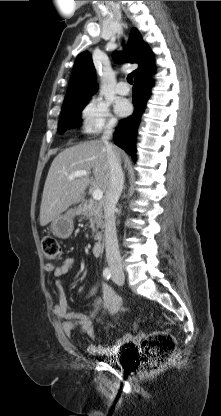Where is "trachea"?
<instances>
[{
    "instance_id": "trachea-1",
    "label": "trachea",
    "mask_w": 221,
    "mask_h": 416,
    "mask_svg": "<svg viewBox=\"0 0 221 416\" xmlns=\"http://www.w3.org/2000/svg\"><path fill=\"white\" fill-rule=\"evenodd\" d=\"M127 81H128V83L133 84V74H132V73H130V74L127 76Z\"/></svg>"
}]
</instances>
